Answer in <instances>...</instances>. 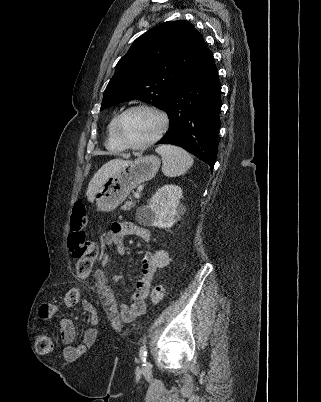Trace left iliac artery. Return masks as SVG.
Returning a JSON list of instances; mask_svg holds the SVG:
<instances>
[{
  "label": "left iliac artery",
  "mask_w": 321,
  "mask_h": 402,
  "mask_svg": "<svg viewBox=\"0 0 321 402\" xmlns=\"http://www.w3.org/2000/svg\"><path fill=\"white\" fill-rule=\"evenodd\" d=\"M139 357L141 361L144 363L143 365H146V358H147V346L144 344L139 351Z\"/></svg>",
  "instance_id": "1"
}]
</instances>
